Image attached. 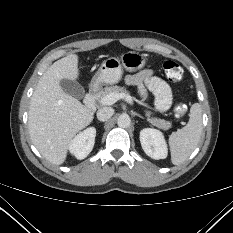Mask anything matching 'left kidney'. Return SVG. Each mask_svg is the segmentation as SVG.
Returning <instances> with one entry per match:
<instances>
[{"label": "left kidney", "instance_id": "obj_1", "mask_svg": "<svg viewBox=\"0 0 233 233\" xmlns=\"http://www.w3.org/2000/svg\"><path fill=\"white\" fill-rule=\"evenodd\" d=\"M140 143L144 152L155 160L165 159L168 155L164 135L157 129H142L140 131Z\"/></svg>", "mask_w": 233, "mask_h": 233}]
</instances>
